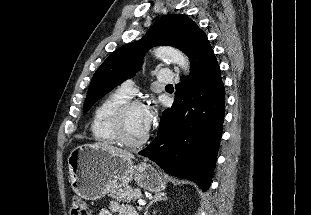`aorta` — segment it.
Wrapping results in <instances>:
<instances>
[{"label": "aorta", "instance_id": "obj_1", "mask_svg": "<svg viewBox=\"0 0 311 215\" xmlns=\"http://www.w3.org/2000/svg\"><path fill=\"white\" fill-rule=\"evenodd\" d=\"M155 56L158 58L166 59L180 66L187 74L190 69L188 57L180 50L173 47H159L154 51Z\"/></svg>", "mask_w": 311, "mask_h": 215}]
</instances>
